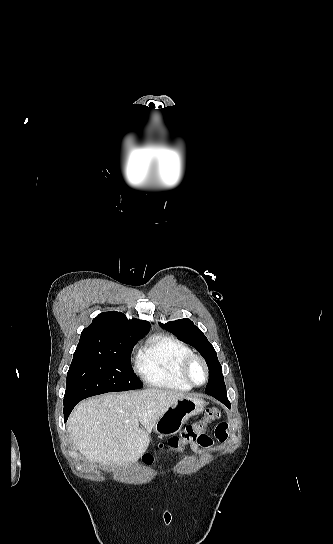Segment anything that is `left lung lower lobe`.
<instances>
[{
	"label": "left lung lower lobe",
	"mask_w": 333,
	"mask_h": 544,
	"mask_svg": "<svg viewBox=\"0 0 333 544\" xmlns=\"http://www.w3.org/2000/svg\"><path fill=\"white\" fill-rule=\"evenodd\" d=\"M209 395L213 396L223 404H225L228 408H230V402L227 398V394L224 392H210Z\"/></svg>",
	"instance_id": "0a47b994"
}]
</instances>
